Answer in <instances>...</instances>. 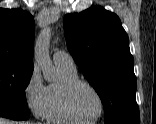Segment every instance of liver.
I'll use <instances>...</instances> for the list:
<instances>
[{"label": "liver", "mask_w": 156, "mask_h": 124, "mask_svg": "<svg viewBox=\"0 0 156 124\" xmlns=\"http://www.w3.org/2000/svg\"><path fill=\"white\" fill-rule=\"evenodd\" d=\"M0 124H14L13 122L0 118ZM24 124H30V123H24Z\"/></svg>", "instance_id": "1"}]
</instances>
